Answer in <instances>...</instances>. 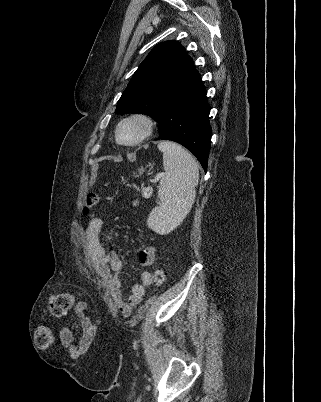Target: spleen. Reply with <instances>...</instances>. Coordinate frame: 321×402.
I'll return each instance as SVG.
<instances>
[{"mask_svg": "<svg viewBox=\"0 0 321 402\" xmlns=\"http://www.w3.org/2000/svg\"><path fill=\"white\" fill-rule=\"evenodd\" d=\"M165 174L160 180L159 206L152 209L147 225L159 234H167L178 226L194 204L199 169L193 156L180 145L161 141Z\"/></svg>", "mask_w": 321, "mask_h": 402, "instance_id": "1", "label": "spleen"}]
</instances>
